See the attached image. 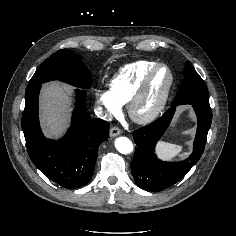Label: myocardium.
Here are the masks:
<instances>
[{
    "instance_id": "myocardium-1",
    "label": "myocardium",
    "mask_w": 236,
    "mask_h": 236,
    "mask_svg": "<svg viewBox=\"0 0 236 236\" xmlns=\"http://www.w3.org/2000/svg\"><path fill=\"white\" fill-rule=\"evenodd\" d=\"M160 69H165L168 73V81L165 86V89L156 103V105L147 113L141 114L138 111L139 105L141 104L142 100L144 99L146 92L148 90V87L150 85V82L154 75L160 70ZM174 83V75L172 70L165 64H156L154 67H152L144 76L143 80L141 81L139 87L135 91L134 95L131 97L130 101L128 102L127 105V110L130 118L138 123V124H149L156 120L159 115L162 113L164 110L168 98L170 96L172 87Z\"/></svg>"
}]
</instances>
